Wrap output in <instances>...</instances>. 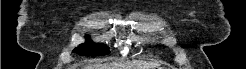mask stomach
<instances>
[{
    "label": "stomach",
    "instance_id": "0dacf381",
    "mask_svg": "<svg viewBox=\"0 0 246 69\" xmlns=\"http://www.w3.org/2000/svg\"><path fill=\"white\" fill-rule=\"evenodd\" d=\"M157 69H164V68H162V67H158Z\"/></svg>",
    "mask_w": 246,
    "mask_h": 69
}]
</instances>
